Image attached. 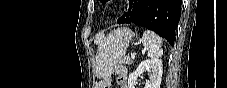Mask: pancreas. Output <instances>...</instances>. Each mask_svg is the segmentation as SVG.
I'll use <instances>...</instances> for the list:
<instances>
[{
    "label": "pancreas",
    "mask_w": 227,
    "mask_h": 88,
    "mask_svg": "<svg viewBox=\"0 0 227 88\" xmlns=\"http://www.w3.org/2000/svg\"><path fill=\"white\" fill-rule=\"evenodd\" d=\"M121 63L126 65H131L133 63V60L130 57H124L120 60Z\"/></svg>",
    "instance_id": "cf45deb5"
}]
</instances>
